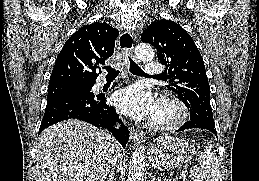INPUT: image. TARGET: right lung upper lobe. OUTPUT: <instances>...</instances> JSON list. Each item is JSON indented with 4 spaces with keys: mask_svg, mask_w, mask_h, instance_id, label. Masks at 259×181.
I'll list each match as a JSON object with an SVG mask.
<instances>
[{
    "mask_svg": "<svg viewBox=\"0 0 259 181\" xmlns=\"http://www.w3.org/2000/svg\"><path fill=\"white\" fill-rule=\"evenodd\" d=\"M117 36L118 31L105 22L81 27L58 54L49 86L95 82L98 76L96 68L112 56Z\"/></svg>",
    "mask_w": 259,
    "mask_h": 181,
    "instance_id": "right-lung-upper-lobe-1",
    "label": "right lung upper lobe"
}]
</instances>
